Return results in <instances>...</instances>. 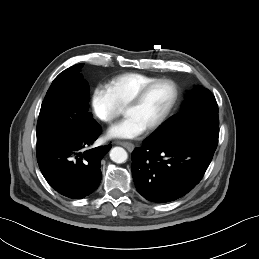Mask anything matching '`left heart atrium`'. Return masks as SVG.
<instances>
[{
    "instance_id": "obj_1",
    "label": "left heart atrium",
    "mask_w": 259,
    "mask_h": 259,
    "mask_svg": "<svg viewBox=\"0 0 259 259\" xmlns=\"http://www.w3.org/2000/svg\"><path fill=\"white\" fill-rule=\"evenodd\" d=\"M145 129L134 117L126 116L109 129L108 135L113 138L130 139L141 135Z\"/></svg>"
}]
</instances>
